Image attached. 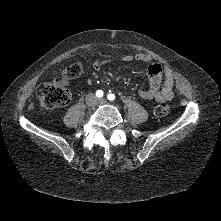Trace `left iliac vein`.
<instances>
[{
  "mask_svg": "<svg viewBox=\"0 0 221 221\" xmlns=\"http://www.w3.org/2000/svg\"><path fill=\"white\" fill-rule=\"evenodd\" d=\"M98 102H100V103H106L107 101H106V99L102 98V99H99Z\"/></svg>",
  "mask_w": 221,
  "mask_h": 221,
  "instance_id": "obj_1",
  "label": "left iliac vein"
}]
</instances>
